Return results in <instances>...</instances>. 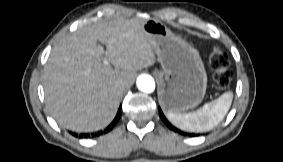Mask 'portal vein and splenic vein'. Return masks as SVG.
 <instances>
[{
	"instance_id": "obj_1",
	"label": "portal vein and splenic vein",
	"mask_w": 283,
	"mask_h": 162,
	"mask_svg": "<svg viewBox=\"0 0 283 162\" xmlns=\"http://www.w3.org/2000/svg\"><path fill=\"white\" fill-rule=\"evenodd\" d=\"M101 52H103V48H101ZM103 63H104V65H106V66L109 65V61H108L106 58H104Z\"/></svg>"
}]
</instances>
